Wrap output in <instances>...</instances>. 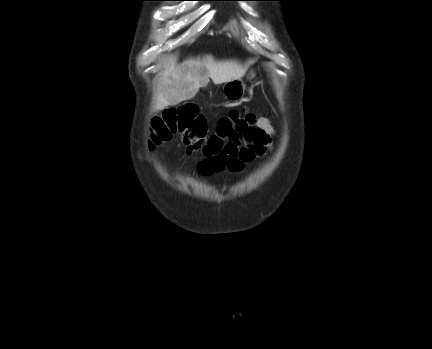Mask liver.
Masks as SVG:
<instances>
[{"label":"liver","mask_w":432,"mask_h":349,"mask_svg":"<svg viewBox=\"0 0 432 349\" xmlns=\"http://www.w3.org/2000/svg\"><path fill=\"white\" fill-rule=\"evenodd\" d=\"M252 61L242 65L237 61H215L211 55L191 58L178 64L171 59L165 66L158 88L156 109L162 110L192 99L210 78L218 85L241 79Z\"/></svg>","instance_id":"liver-1"}]
</instances>
